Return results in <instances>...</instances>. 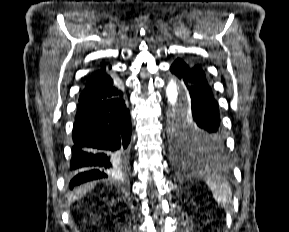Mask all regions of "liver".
<instances>
[{
	"label": "liver",
	"mask_w": 289,
	"mask_h": 232,
	"mask_svg": "<svg viewBox=\"0 0 289 232\" xmlns=\"http://www.w3.org/2000/svg\"><path fill=\"white\" fill-rule=\"evenodd\" d=\"M94 183H85L78 187L73 193L72 198L73 200L77 199L78 197H82L85 195L88 191L92 190L94 187Z\"/></svg>",
	"instance_id": "obj_1"
}]
</instances>
